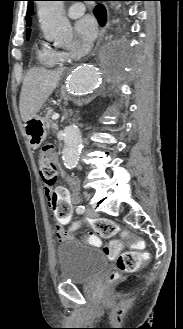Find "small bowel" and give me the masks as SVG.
Returning <instances> with one entry per match:
<instances>
[{
	"mask_svg": "<svg viewBox=\"0 0 183 329\" xmlns=\"http://www.w3.org/2000/svg\"><path fill=\"white\" fill-rule=\"evenodd\" d=\"M60 173L67 179L72 192L68 191V187H51V190L45 188V195L52 211V219H55L57 222L55 237L58 241H63L65 231L62 227H72L73 225L70 217L72 215L73 204L79 201V181L74 176H68L63 170ZM94 240L97 244L100 243L99 239L95 238Z\"/></svg>",
	"mask_w": 183,
	"mask_h": 329,
	"instance_id": "small-bowel-1",
	"label": "small bowel"
}]
</instances>
